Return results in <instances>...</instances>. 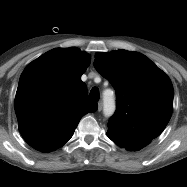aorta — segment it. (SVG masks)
<instances>
[{"instance_id":"obj_1","label":"aorta","mask_w":187,"mask_h":187,"mask_svg":"<svg viewBox=\"0 0 187 187\" xmlns=\"http://www.w3.org/2000/svg\"><path fill=\"white\" fill-rule=\"evenodd\" d=\"M109 92V93H108ZM103 102H104V115L110 117L115 112V100L113 97V92L110 90H106L103 94Z\"/></svg>"}]
</instances>
